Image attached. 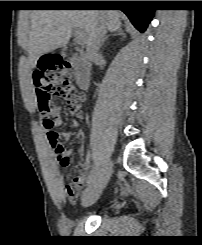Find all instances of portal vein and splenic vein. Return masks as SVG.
I'll return each instance as SVG.
<instances>
[{"mask_svg":"<svg viewBox=\"0 0 202 245\" xmlns=\"http://www.w3.org/2000/svg\"><path fill=\"white\" fill-rule=\"evenodd\" d=\"M75 39H76L78 44H83L85 41V33L80 29H76L75 30Z\"/></svg>","mask_w":202,"mask_h":245,"instance_id":"portal-vein-and-splenic-vein-1","label":"portal vein and splenic vein"}]
</instances>
